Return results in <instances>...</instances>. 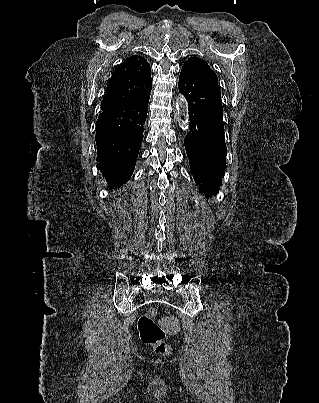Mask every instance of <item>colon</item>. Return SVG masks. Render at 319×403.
I'll return each mask as SVG.
<instances>
[{
    "label": "colon",
    "instance_id": "5ec220e1",
    "mask_svg": "<svg viewBox=\"0 0 319 403\" xmlns=\"http://www.w3.org/2000/svg\"><path fill=\"white\" fill-rule=\"evenodd\" d=\"M157 310L151 307L141 315L137 321L140 339L143 343L153 347L155 353L161 356L171 354V347L165 342L166 332L156 322Z\"/></svg>",
    "mask_w": 319,
    "mask_h": 403
}]
</instances>
